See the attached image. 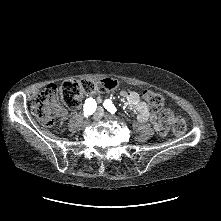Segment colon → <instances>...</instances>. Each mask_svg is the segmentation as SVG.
I'll use <instances>...</instances> for the list:
<instances>
[{
	"label": "colon",
	"mask_w": 221,
	"mask_h": 221,
	"mask_svg": "<svg viewBox=\"0 0 221 221\" xmlns=\"http://www.w3.org/2000/svg\"><path fill=\"white\" fill-rule=\"evenodd\" d=\"M116 87L117 81L112 78H104L98 81L71 79L64 82L60 87L56 85L47 86L36 97L31 110L42 126L50 128L55 125L56 118L62 113L63 106L76 109L80 106L84 95L111 92ZM143 97L152 109L160 112L159 122L163 128L159 134L165 136L164 127L172 118L170 110L164 107L162 96L154 91H145ZM172 127L177 136H182L186 132V122L182 117L173 118Z\"/></svg>",
	"instance_id": "1"
}]
</instances>
